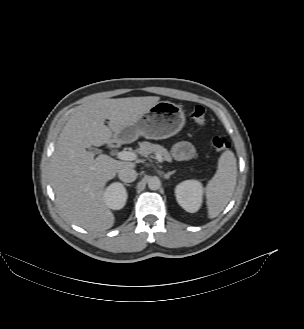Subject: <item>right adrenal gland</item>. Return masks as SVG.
<instances>
[{
    "label": "right adrenal gland",
    "instance_id": "2a0ac1e0",
    "mask_svg": "<svg viewBox=\"0 0 304 329\" xmlns=\"http://www.w3.org/2000/svg\"><path fill=\"white\" fill-rule=\"evenodd\" d=\"M124 185H125V186H130V184H126V183H124Z\"/></svg>",
    "mask_w": 304,
    "mask_h": 329
}]
</instances>
